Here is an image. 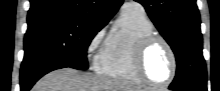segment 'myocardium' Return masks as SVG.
Wrapping results in <instances>:
<instances>
[{"label":"myocardium","mask_w":220,"mask_h":91,"mask_svg":"<svg viewBox=\"0 0 220 91\" xmlns=\"http://www.w3.org/2000/svg\"><path fill=\"white\" fill-rule=\"evenodd\" d=\"M156 43H161L167 49L171 58V73L165 82H155L149 78L145 70V58L149 49ZM134 68L141 81L152 87H167L172 83L177 74V57L171 44L162 36L151 34L141 39L134 51Z\"/></svg>","instance_id":"f54148a6"}]
</instances>
